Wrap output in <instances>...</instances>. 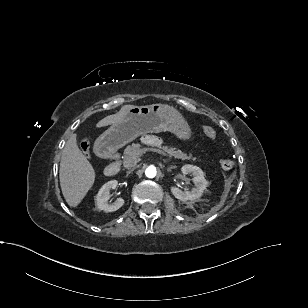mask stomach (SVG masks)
Segmentation results:
<instances>
[{"mask_svg":"<svg viewBox=\"0 0 308 308\" xmlns=\"http://www.w3.org/2000/svg\"><path fill=\"white\" fill-rule=\"evenodd\" d=\"M169 131L181 140L191 139L190 126L182 114L167 104L135 106L112 124L95 142V148L107 153L123 147L139 135Z\"/></svg>","mask_w":308,"mask_h":308,"instance_id":"stomach-1","label":"stomach"}]
</instances>
